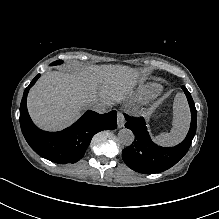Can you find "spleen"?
Returning a JSON list of instances; mask_svg holds the SVG:
<instances>
[{
  "mask_svg": "<svg viewBox=\"0 0 219 219\" xmlns=\"http://www.w3.org/2000/svg\"><path fill=\"white\" fill-rule=\"evenodd\" d=\"M190 126V110L184 93H177L173 102L172 129L169 133H161L154 142L161 146H175L186 136Z\"/></svg>",
  "mask_w": 219,
  "mask_h": 219,
  "instance_id": "spleen-1",
  "label": "spleen"
}]
</instances>
